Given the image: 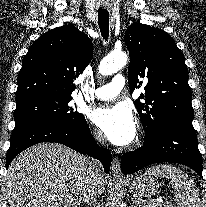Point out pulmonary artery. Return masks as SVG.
<instances>
[{
    "label": "pulmonary artery",
    "mask_w": 206,
    "mask_h": 207,
    "mask_svg": "<svg viewBox=\"0 0 206 207\" xmlns=\"http://www.w3.org/2000/svg\"><path fill=\"white\" fill-rule=\"evenodd\" d=\"M125 86L124 76L118 74L112 78V81L103 85L92 92V96L100 100H109L115 98Z\"/></svg>",
    "instance_id": "e3ab8cb5"
}]
</instances>
